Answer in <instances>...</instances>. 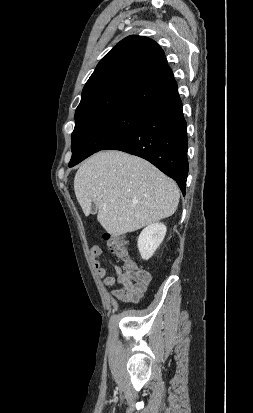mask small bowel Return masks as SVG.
I'll return each mask as SVG.
<instances>
[{
	"mask_svg": "<svg viewBox=\"0 0 253 413\" xmlns=\"http://www.w3.org/2000/svg\"><path fill=\"white\" fill-rule=\"evenodd\" d=\"M103 253L102 248L99 245H93L91 247V258L94 268L99 277L102 278V282L106 286L114 287L112 296L121 301L122 303H137L141 300L144 293L147 290V285H139L133 283V281L123 274L122 267L112 263L115 273L109 275L108 268L102 266L100 257Z\"/></svg>",
	"mask_w": 253,
	"mask_h": 413,
	"instance_id": "small-bowel-1",
	"label": "small bowel"
}]
</instances>
